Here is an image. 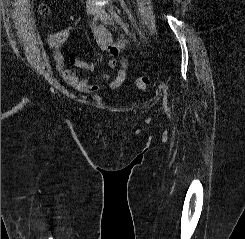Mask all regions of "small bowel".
Segmentation results:
<instances>
[{"mask_svg":"<svg viewBox=\"0 0 245 239\" xmlns=\"http://www.w3.org/2000/svg\"><path fill=\"white\" fill-rule=\"evenodd\" d=\"M92 30L96 44L109 54L107 66L110 69H115L118 63L120 64V67L112 80H109L108 75L104 73L97 74L96 79L106 82L110 89H117L123 84L127 76V59L125 57H120L118 60L119 53L124 48L125 41H114L111 31L103 25L93 24ZM65 37V33L58 34L60 41L64 40ZM53 60L55 62L56 70L61 78L77 91L92 93L100 88L97 83H90L87 79L81 78L76 71V69H84L93 72L95 70L93 62L82 60L76 53L71 52L69 54V63L71 67L68 68L65 65L63 54L59 51L53 53Z\"/></svg>","mask_w":245,"mask_h":239,"instance_id":"obj_1","label":"small bowel"}]
</instances>
